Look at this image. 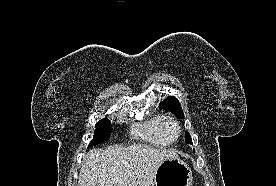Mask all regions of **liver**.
<instances>
[{
    "mask_svg": "<svg viewBox=\"0 0 276 186\" xmlns=\"http://www.w3.org/2000/svg\"><path fill=\"white\" fill-rule=\"evenodd\" d=\"M171 157H178L177 153L145 144L94 149L84 160L79 183L80 186H152L158 167Z\"/></svg>",
    "mask_w": 276,
    "mask_h": 186,
    "instance_id": "obj_1",
    "label": "liver"
}]
</instances>
